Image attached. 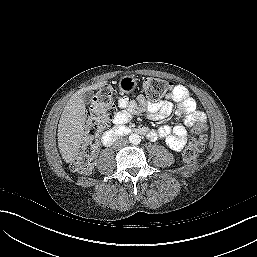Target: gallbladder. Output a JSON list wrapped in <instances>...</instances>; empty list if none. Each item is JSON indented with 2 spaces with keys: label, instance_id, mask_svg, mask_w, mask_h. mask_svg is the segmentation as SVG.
<instances>
[{
  "label": "gallbladder",
  "instance_id": "1",
  "mask_svg": "<svg viewBox=\"0 0 257 257\" xmlns=\"http://www.w3.org/2000/svg\"><path fill=\"white\" fill-rule=\"evenodd\" d=\"M92 97H93V92H92V91H86V92L83 94V96H82V98H83V100H84V102H85L86 104H89V103L91 102Z\"/></svg>",
  "mask_w": 257,
  "mask_h": 257
}]
</instances>
